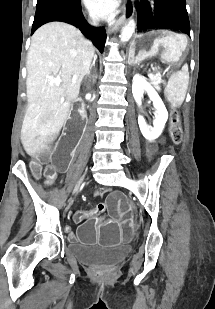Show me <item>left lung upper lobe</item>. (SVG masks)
I'll return each mask as SVG.
<instances>
[{
	"mask_svg": "<svg viewBox=\"0 0 215 309\" xmlns=\"http://www.w3.org/2000/svg\"><path fill=\"white\" fill-rule=\"evenodd\" d=\"M138 31L150 28L179 29L190 36L185 0H141L136 2Z\"/></svg>",
	"mask_w": 215,
	"mask_h": 309,
	"instance_id": "left-lung-upper-lobe-1",
	"label": "left lung upper lobe"
}]
</instances>
